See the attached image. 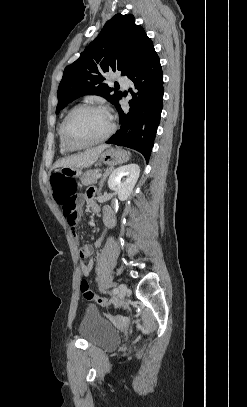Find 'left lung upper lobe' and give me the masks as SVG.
I'll list each match as a JSON object with an SVG mask.
<instances>
[{"label": "left lung upper lobe", "mask_w": 247, "mask_h": 407, "mask_svg": "<svg viewBox=\"0 0 247 407\" xmlns=\"http://www.w3.org/2000/svg\"><path fill=\"white\" fill-rule=\"evenodd\" d=\"M153 42L131 14H116L106 22L98 37L64 70L58 88L56 114L68 103L83 95H99L115 106L121 92L102 83L103 74L120 71L128 78L138 69L149 53Z\"/></svg>", "instance_id": "1"}]
</instances>
